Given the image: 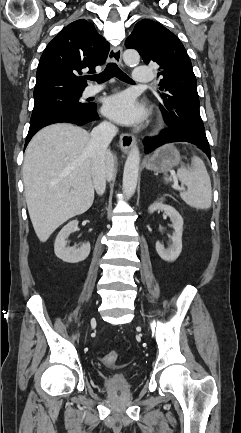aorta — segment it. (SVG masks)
Masks as SVG:
<instances>
[{
    "mask_svg": "<svg viewBox=\"0 0 241 433\" xmlns=\"http://www.w3.org/2000/svg\"><path fill=\"white\" fill-rule=\"evenodd\" d=\"M123 60L129 66H135L140 61V55L135 50H126L123 53ZM140 164V152L137 145H134L126 159L123 173V192L127 198L135 193Z\"/></svg>",
    "mask_w": 241,
    "mask_h": 433,
    "instance_id": "aorta-1",
    "label": "aorta"
}]
</instances>
